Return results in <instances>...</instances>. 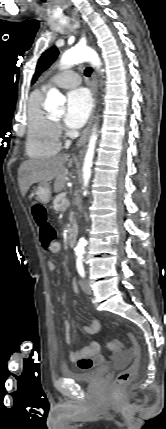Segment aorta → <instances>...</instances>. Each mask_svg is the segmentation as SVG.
Masks as SVG:
<instances>
[{"label": "aorta", "instance_id": "762f6f07", "mask_svg": "<svg viewBox=\"0 0 166 429\" xmlns=\"http://www.w3.org/2000/svg\"><path fill=\"white\" fill-rule=\"evenodd\" d=\"M84 61L91 62L92 65L97 68H100L101 66V61L97 53L93 49L87 46L73 47L67 50L61 58V64L64 66L74 65ZM64 102H65V97L57 89H51L48 92L46 107L49 110H62ZM93 131L94 132L90 137L88 150L86 152L84 166H83V179H84L85 187H87L91 176V167L93 163L94 149H95V144L97 140L95 129ZM85 244H86V240L84 238H80L77 246L75 247V251L77 253H83Z\"/></svg>", "mask_w": 166, "mask_h": 429}]
</instances>
